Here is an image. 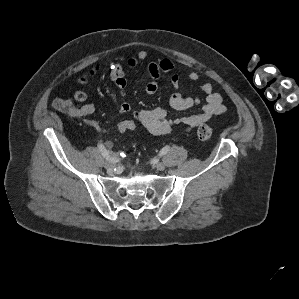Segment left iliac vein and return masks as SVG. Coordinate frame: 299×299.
I'll return each instance as SVG.
<instances>
[{
    "mask_svg": "<svg viewBox=\"0 0 299 299\" xmlns=\"http://www.w3.org/2000/svg\"><path fill=\"white\" fill-rule=\"evenodd\" d=\"M154 166L156 167L157 170L163 171L165 169V165L162 162H155Z\"/></svg>",
    "mask_w": 299,
    "mask_h": 299,
    "instance_id": "obj_1",
    "label": "left iliac vein"
}]
</instances>
